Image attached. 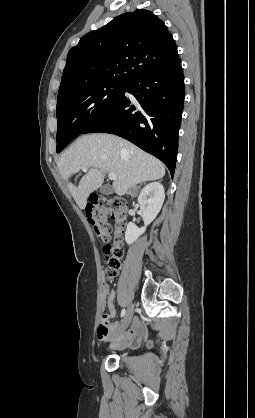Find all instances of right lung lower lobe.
Wrapping results in <instances>:
<instances>
[{"instance_id": "1", "label": "right lung lower lobe", "mask_w": 255, "mask_h": 418, "mask_svg": "<svg viewBox=\"0 0 255 418\" xmlns=\"http://www.w3.org/2000/svg\"><path fill=\"white\" fill-rule=\"evenodd\" d=\"M184 95L183 70L177 58L133 78L110 111L82 134L103 132L125 138L160 159L173 177Z\"/></svg>"}]
</instances>
